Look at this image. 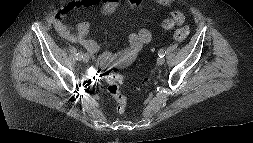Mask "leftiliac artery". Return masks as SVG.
Segmentation results:
<instances>
[{
    "instance_id": "1",
    "label": "left iliac artery",
    "mask_w": 253,
    "mask_h": 143,
    "mask_svg": "<svg viewBox=\"0 0 253 143\" xmlns=\"http://www.w3.org/2000/svg\"><path fill=\"white\" fill-rule=\"evenodd\" d=\"M165 53H166V51L164 50V49H161L160 51H159V53H158V55H159V57H164L165 56Z\"/></svg>"
}]
</instances>
